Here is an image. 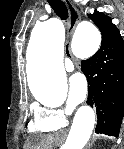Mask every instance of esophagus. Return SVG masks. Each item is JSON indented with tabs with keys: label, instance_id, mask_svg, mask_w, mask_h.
<instances>
[{
	"label": "esophagus",
	"instance_id": "esophagus-1",
	"mask_svg": "<svg viewBox=\"0 0 124 149\" xmlns=\"http://www.w3.org/2000/svg\"><path fill=\"white\" fill-rule=\"evenodd\" d=\"M69 12V24L67 29V37L70 38L80 19V13L70 0H63Z\"/></svg>",
	"mask_w": 124,
	"mask_h": 149
}]
</instances>
